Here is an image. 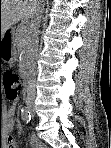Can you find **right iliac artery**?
<instances>
[{
	"label": "right iliac artery",
	"instance_id": "1",
	"mask_svg": "<svg viewBox=\"0 0 111 148\" xmlns=\"http://www.w3.org/2000/svg\"><path fill=\"white\" fill-rule=\"evenodd\" d=\"M21 117L24 121H26L27 123L31 120V115H30V112L26 109V108H23L21 110Z\"/></svg>",
	"mask_w": 111,
	"mask_h": 148
}]
</instances>
